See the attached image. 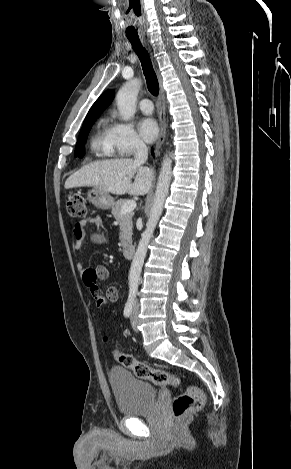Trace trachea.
<instances>
[{
    "instance_id": "obj_1",
    "label": "trachea",
    "mask_w": 291,
    "mask_h": 469,
    "mask_svg": "<svg viewBox=\"0 0 291 469\" xmlns=\"http://www.w3.org/2000/svg\"><path fill=\"white\" fill-rule=\"evenodd\" d=\"M142 65L143 73L146 79L147 88L153 96L159 94V83L154 71L150 56L146 49L141 45L138 37H128Z\"/></svg>"
}]
</instances>
